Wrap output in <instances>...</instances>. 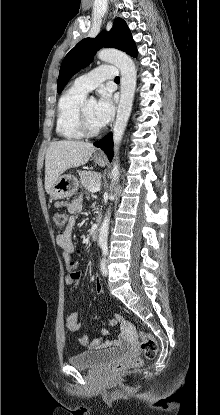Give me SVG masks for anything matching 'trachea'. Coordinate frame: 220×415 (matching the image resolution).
<instances>
[{"instance_id": "3493384b", "label": "trachea", "mask_w": 220, "mask_h": 415, "mask_svg": "<svg viewBox=\"0 0 220 415\" xmlns=\"http://www.w3.org/2000/svg\"><path fill=\"white\" fill-rule=\"evenodd\" d=\"M115 81H116V82H119V81H120V78L117 76V77L115 78Z\"/></svg>"}]
</instances>
